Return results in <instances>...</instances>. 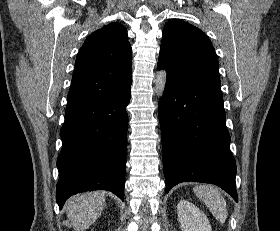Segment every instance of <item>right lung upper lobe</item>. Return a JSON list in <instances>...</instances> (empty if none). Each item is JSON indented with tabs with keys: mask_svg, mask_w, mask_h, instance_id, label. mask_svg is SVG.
I'll list each match as a JSON object with an SVG mask.
<instances>
[{
	"mask_svg": "<svg viewBox=\"0 0 280 231\" xmlns=\"http://www.w3.org/2000/svg\"><path fill=\"white\" fill-rule=\"evenodd\" d=\"M131 52L122 24L110 23L89 35L76 58L66 108L130 88Z\"/></svg>",
	"mask_w": 280,
	"mask_h": 231,
	"instance_id": "obj_1",
	"label": "right lung upper lobe"
}]
</instances>
